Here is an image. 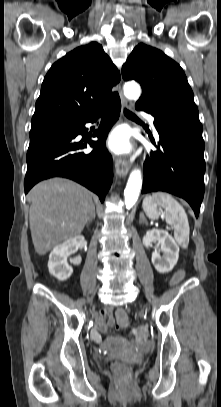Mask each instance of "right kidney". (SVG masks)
Segmentation results:
<instances>
[{
    "label": "right kidney",
    "instance_id": "1",
    "mask_svg": "<svg viewBox=\"0 0 221 407\" xmlns=\"http://www.w3.org/2000/svg\"><path fill=\"white\" fill-rule=\"evenodd\" d=\"M84 240V236L79 235L54 247L48 261V269L52 276L59 281H65L72 275L73 268L68 264L67 258L78 247L83 246ZM78 262H81V259Z\"/></svg>",
    "mask_w": 221,
    "mask_h": 407
}]
</instances>
